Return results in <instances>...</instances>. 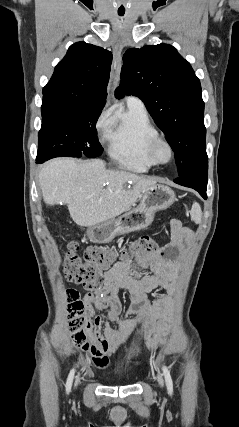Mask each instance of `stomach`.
<instances>
[{
    "label": "stomach",
    "mask_w": 239,
    "mask_h": 427,
    "mask_svg": "<svg viewBox=\"0 0 239 427\" xmlns=\"http://www.w3.org/2000/svg\"><path fill=\"white\" fill-rule=\"evenodd\" d=\"M175 200L171 188L154 184L144 191L136 208L128 210L116 219L91 226L87 230V236L90 241L102 244L110 242L116 236L144 229L153 222L156 212L169 208Z\"/></svg>",
    "instance_id": "1"
}]
</instances>
